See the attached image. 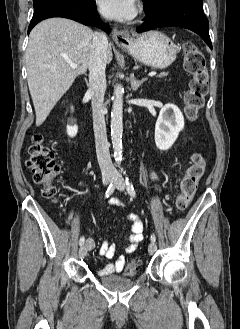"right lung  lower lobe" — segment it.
Here are the masks:
<instances>
[{"instance_id": "98d812e1", "label": "right lung lower lobe", "mask_w": 240, "mask_h": 329, "mask_svg": "<svg viewBox=\"0 0 240 329\" xmlns=\"http://www.w3.org/2000/svg\"><path fill=\"white\" fill-rule=\"evenodd\" d=\"M51 17H63L75 20L84 25H95L107 33L109 26L100 20L95 0L88 3H73L65 0H34V14L28 28V34L40 21Z\"/></svg>"}]
</instances>
